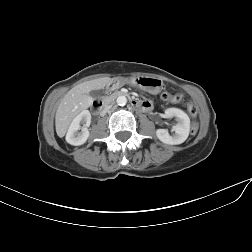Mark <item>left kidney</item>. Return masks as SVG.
<instances>
[{"label": "left kidney", "mask_w": 252, "mask_h": 252, "mask_svg": "<svg viewBox=\"0 0 252 252\" xmlns=\"http://www.w3.org/2000/svg\"><path fill=\"white\" fill-rule=\"evenodd\" d=\"M167 118L176 117L177 124L174 125L175 134L170 135L166 129H157L156 135L160 141L165 144L178 145L183 143L189 136L190 119L188 115L178 108H168L165 110Z\"/></svg>", "instance_id": "obj_1"}]
</instances>
